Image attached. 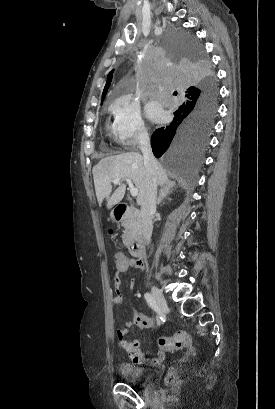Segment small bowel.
Returning a JSON list of instances; mask_svg holds the SVG:
<instances>
[{
  "instance_id": "obj_1",
  "label": "small bowel",
  "mask_w": 275,
  "mask_h": 409,
  "mask_svg": "<svg viewBox=\"0 0 275 409\" xmlns=\"http://www.w3.org/2000/svg\"><path fill=\"white\" fill-rule=\"evenodd\" d=\"M125 270L129 268H141V263L136 262L133 260L127 261V263L124 265ZM113 281H114V286L117 287L115 290V297L113 298V302L117 305L122 303L123 300V295L122 292L119 288V284L121 283V276L119 273H114L113 274ZM129 282V288L132 290L135 287V279L133 277H130L128 279ZM138 312L133 310L132 314L135 316ZM141 316V317H140ZM140 316H136L134 320H129L128 321V326L129 327H134L136 325L137 328H152L155 324V320L153 318L146 317L145 315L140 313ZM127 329L124 327L123 329L118 331V340L119 344L121 345V349L123 351H129V358L131 360H134L136 363L140 365H145V366H151V365H159L163 363L165 360V354L163 351H161L156 358H150L146 357L143 353L140 352L139 349V339L138 338H131L129 339L128 337H125V331Z\"/></svg>"
}]
</instances>
